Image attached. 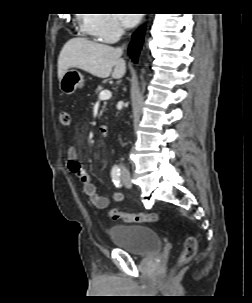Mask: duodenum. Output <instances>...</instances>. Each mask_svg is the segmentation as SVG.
<instances>
[{
	"instance_id": "410a0bca",
	"label": "duodenum",
	"mask_w": 252,
	"mask_h": 303,
	"mask_svg": "<svg viewBox=\"0 0 252 303\" xmlns=\"http://www.w3.org/2000/svg\"><path fill=\"white\" fill-rule=\"evenodd\" d=\"M108 132H109V128H108V125H102L100 126L99 128V133L102 137H105L108 135Z\"/></svg>"
}]
</instances>
